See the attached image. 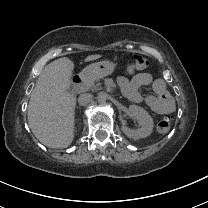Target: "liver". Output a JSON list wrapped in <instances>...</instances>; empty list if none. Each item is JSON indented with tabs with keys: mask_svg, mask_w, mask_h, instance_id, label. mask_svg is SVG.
Returning <instances> with one entry per match:
<instances>
[{
	"mask_svg": "<svg viewBox=\"0 0 208 208\" xmlns=\"http://www.w3.org/2000/svg\"><path fill=\"white\" fill-rule=\"evenodd\" d=\"M101 58L90 55L85 62ZM74 63L59 58L42 70L28 105V123L35 137L50 148H66L74 138L76 98L68 92Z\"/></svg>",
	"mask_w": 208,
	"mask_h": 208,
	"instance_id": "6515ba94",
	"label": "liver"
}]
</instances>
